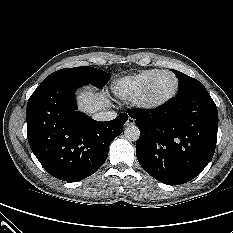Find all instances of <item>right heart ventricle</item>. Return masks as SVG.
Returning <instances> with one entry per match:
<instances>
[{
	"instance_id": "right-heart-ventricle-1",
	"label": "right heart ventricle",
	"mask_w": 233,
	"mask_h": 233,
	"mask_svg": "<svg viewBox=\"0 0 233 233\" xmlns=\"http://www.w3.org/2000/svg\"><path fill=\"white\" fill-rule=\"evenodd\" d=\"M160 69H147L142 70L136 74L122 77L116 80L112 86L113 93L123 100L136 99L150 79L156 75Z\"/></svg>"
}]
</instances>
